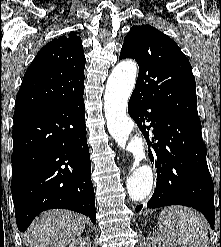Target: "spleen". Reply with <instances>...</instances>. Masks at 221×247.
<instances>
[{
	"instance_id": "1",
	"label": "spleen",
	"mask_w": 221,
	"mask_h": 247,
	"mask_svg": "<svg viewBox=\"0 0 221 247\" xmlns=\"http://www.w3.org/2000/svg\"><path fill=\"white\" fill-rule=\"evenodd\" d=\"M159 229L167 240L182 247H208L204 218L186 207L165 208L159 216Z\"/></svg>"
}]
</instances>
